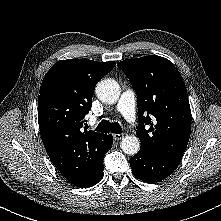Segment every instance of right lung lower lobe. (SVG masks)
Instances as JSON below:
<instances>
[{
  "label": "right lung lower lobe",
  "mask_w": 221,
  "mask_h": 221,
  "mask_svg": "<svg viewBox=\"0 0 221 221\" xmlns=\"http://www.w3.org/2000/svg\"><path fill=\"white\" fill-rule=\"evenodd\" d=\"M112 143H113V138H112L111 135H108V140H107L105 154L111 149ZM103 170H104V165H103V158H102L99 166L91 174V176L87 180H85L82 183H80L79 185H77V187H79V188H87V187H91V186L97 184L102 179V177L104 175Z\"/></svg>",
  "instance_id": "1"
}]
</instances>
